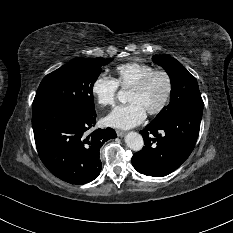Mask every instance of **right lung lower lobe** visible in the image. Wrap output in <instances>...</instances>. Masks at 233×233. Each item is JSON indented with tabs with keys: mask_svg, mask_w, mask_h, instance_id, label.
I'll list each match as a JSON object with an SVG mask.
<instances>
[{
	"mask_svg": "<svg viewBox=\"0 0 233 233\" xmlns=\"http://www.w3.org/2000/svg\"><path fill=\"white\" fill-rule=\"evenodd\" d=\"M96 113L87 114L67 107L32 108V126L36 148L47 169L71 184H84L98 177L102 165L101 146L116 138L111 128L90 129Z\"/></svg>",
	"mask_w": 233,
	"mask_h": 233,
	"instance_id": "98d812e1",
	"label": "right lung lower lobe"
}]
</instances>
